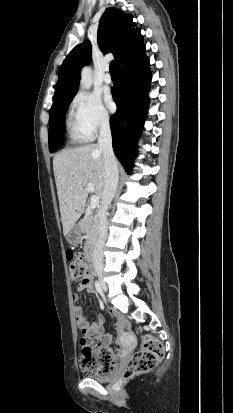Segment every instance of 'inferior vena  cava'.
<instances>
[{
    "instance_id": "1",
    "label": "inferior vena cava",
    "mask_w": 233,
    "mask_h": 413,
    "mask_svg": "<svg viewBox=\"0 0 233 413\" xmlns=\"http://www.w3.org/2000/svg\"><path fill=\"white\" fill-rule=\"evenodd\" d=\"M98 145L104 156V187L102 207L99 213V238L93 251L92 261L95 271L100 274L104 266L103 249L108 232L107 210L116 194L119 181L118 166L112 148V136L107 117L101 121Z\"/></svg>"
}]
</instances>
